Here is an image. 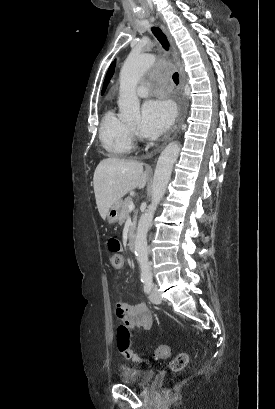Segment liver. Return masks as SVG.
<instances>
[{
	"label": "liver",
	"mask_w": 275,
	"mask_h": 409,
	"mask_svg": "<svg viewBox=\"0 0 275 409\" xmlns=\"http://www.w3.org/2000/svg\"><path fill=\"white\" fill-rule=\"evenodd\" d=\"M143 162L125 158H104L95 168L93 176L97 209L105 221L107 213L116 200L132 188H144L147 172Z\"/></svg>",
	"instance_id": "liver-1"
}]
</instances>
